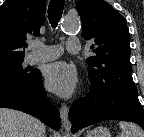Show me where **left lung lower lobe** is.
Here are the masks:
<instances>
[{
  "label": "left lung lower lobe",
  "mask_w": 144,
  "mask_h": 137,
  "mask_svg": "<svg viewBox=\"0 0 144 137\" xmlns=\"http://www.w3.org/2000/svg\"><path fill=\"white\" fill-rule=\"evenodd\" d=\"M72 132L104 120L135 122L144 130V110L137 89L91 90L70 107Z\"/></svg>",
  "instance_id": "left-lung-lower-lobe-1"
}]
</instances>
